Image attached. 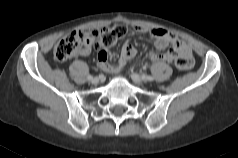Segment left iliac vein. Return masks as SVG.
<instances>
[{
  "mask_svg": "<svg viewBox=\"0 0 238 158\" xmlns=\"http://www.w3.org/2000/svg\"><path fill=\"white\" fill-rule=\"evenodd\" d=\"M131 78L137 84H142L143 83V79L136 73H132Z\"/></svg>",
  "mask_w": 238,
  "mask_h": 158,
  "instance_id": "1",
  "label": "left iliac vein"
}]
</instances>
